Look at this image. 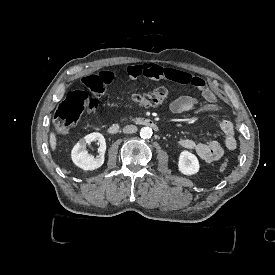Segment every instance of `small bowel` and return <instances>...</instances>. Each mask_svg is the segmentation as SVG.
I'll use <instances>...</instances> for the list:
<instances>
[{
  "label": "small bowel",
  "instance_id": "c3829d8e",
  "mask_svg": "<svg viewBox=\"0 0 275 275\" xmlns=\"http://www.w3.org/2000/svg\"><path fill=\"white\" fill-rule=\"evenodd\" d=\"M129 74L133 78L162 79L180 84H190L196 87L200 91L202 100L187 95L179 96L172 100L169 105L170 111L174 114H181L187 111L212 113L221 109L213 88L198 76L193 77L190 81L191 75L184 71L150 64L132 66L129 69ZM100 80L105 86L109 87L115 83L116 79L111 70L104 69L100 73ZM220 128L224 134L222 142L207 137L204 138L203 142L190 138H181L178 140V144L185 149L194 151L204 162L217 161L224 156L225 150H234L237 147L234 124L229 120H222Z\"/></svg>",
  "mask_w": 275,
  "mask_h": 275
}]
</instances>
